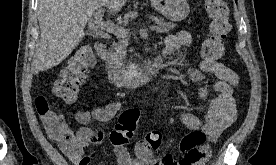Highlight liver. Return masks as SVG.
<instances>
[{
	"label": "liver",
	"instance_id": "1",
	"mask_svg": "<svg viewBox=\"0 0 276 165\" xmlns=\"http://www.w3.org/2000/svg\"><path fill=\"white\" fill-rule=\"evenodd\" d=\"M127 0H39L41 36L35 51L33 70L40 71L64 61L84 38L85 25L103 6L120 12Z\"/></svg>",
	"mask_w": 276,
	"mask_h": 165
}]
</instances>
